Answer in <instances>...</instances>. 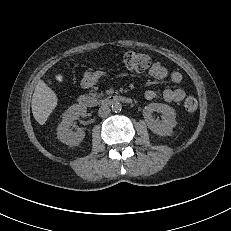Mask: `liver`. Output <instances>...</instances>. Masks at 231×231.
<instances>
[{
	"mask_svg": "<svg viewBox=\"0 0 231 231\" xmlns=\"http://www.w3.org/2000/svg\"><path fill=\"white\" fill-rule=\"evenodd\" d=\"M57 100L55 92L44 81H38L32 96L31 108L35 120L40 125L46 123L57 106Z\"/></svg>",
	"mask_w": 231,
	"mask_h": 231,
	"instance_id": "1",
	"label": "liver"
}]
</instances>
